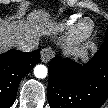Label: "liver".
I'll list each match as a JSON object with an SVG mask.
<instances>
[{
	"label": "liver",
	"instance_id": "1",
	"mask_svg": "<svg viewBox=\"0 0 108 108\" xmlns=\"http://www.w3.org/2000/svg\"><path fill=\"white\" fill-rule=\"evenodd\" d=\"M52 28L49 14L40 10L31 12L26 21H14L11 23H0V50L18 48L21 44H31L38 42L40 37ZM74 52L78 56H87L85 47L75 48Z\"/></svg>",
	"mask_w": 108,
	"mask_h": 108
}]
</instances>
